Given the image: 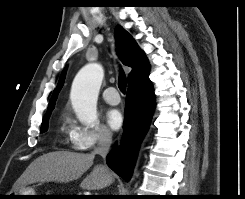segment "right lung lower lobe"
I'll use <instances>...</instances> for the list:
<instances>
[{"mask_svg":"<svg viewBox=\"0 0 245 199\" xmlns=\"http://www.w3.org/2000/svg\"><path fill=\"white\" fill-rule=\"evenodd\" d=\"M154 106L151 83L128 87L123 143L117 155L111 153L106 158L108 166L127 182L133 171L138 145L149 127Z\"/></svg>","mask_w":245,"mask_h":199,"instance_id":"obj_1","label":"right lung lower lobe"}]
</instances>
